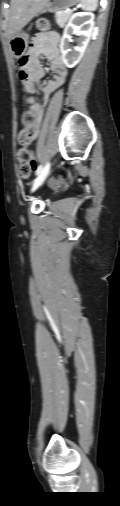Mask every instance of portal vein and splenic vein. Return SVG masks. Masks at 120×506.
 Masks as SVG:
<instances>
[{
    "label": "portal vein and splenic vein",
    "instance_id": "18ae733b",
    "mask_svg": "<svg viewBox=\"0 0 120 506\" xmlns=\"http://www.w3.org/2000/svg\"><path fill=\"white\" fill-rule=\"evenodd\" d=\"M73 11H74V10H70V11H67V12L72 13Z\"/></svg>",
    "mask_w": 120,
    "mask_h": 506
}]
</instances>
